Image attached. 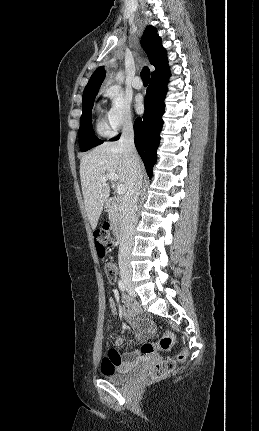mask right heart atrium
Wrapping results in <instances>:
<instances>
[{
	"label": "right heart atrium",
	"mask_w": 259,
	"mask_h": 431,
	"mask_svg": "<svg viewBox=\"0 0 259 431\" xmlns=\"http://www.w3.org/2000/svg\"><path fill=\"white\" fill-rule=\"evenodd\" d=\"M103 94L109 99V108L106 112V124L111 133L133 124L131 105L116 87L105 86Z\"/></svg>",
	"instance_id": "d8ad5b80"
}]
</instances>
